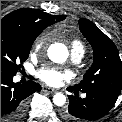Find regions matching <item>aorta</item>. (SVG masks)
Masks as SVG:
<instances>
[{"label":"aorta","mask_w":122,"mask_h":122,"mask_svg":"<svg viewBox=\"0 0 122 122\" xmlns=\"http://www.w3.org/2000/svg\"><path fill=\"white\" fill-rule=\"evenodd\" d=\"M48 57L55 63H63L67 60L69 52L67 47L62 43L51 44L48 48ZM53 103L56 106H63L66 103V97L62 93H56L53 96Z\"/></svg>","instance_id":"obj_1"}]
</instances>
